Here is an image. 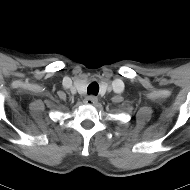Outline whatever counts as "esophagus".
I'll use <instances>...</instances> for the list:
<instances>
[{
	"label": "esophagus",
	"mask_w": 190,
	"mask_h": 190,
	"mask_svg": "<svg viewBox=\"0 0 190 190\" xmlns=\"http://www.w3.org/2000/svg\"><path fill=\"white\" fill-rule=\"evenodd\" d=\"M97 97L93 96V95H90V96H87L84 100L85 104L87 105H94L97 103Z\"/></svg>",
	"instance_id": "obj_1"
}]
</instances>
